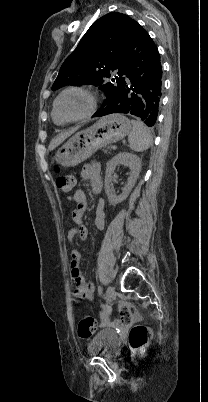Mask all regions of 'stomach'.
<instances>
[{
    "instance_id": "1",
    "label": "stomach",
    "mask_w": 208,
    "mask_h": 402,
    "mask_svg": "<svg viewBox=\"0 0 208 402\" xmlns=\"http://www.w3.org/2000/svg\"><path fill=\"white\" fill-rule=\"evenodd\" d=\"M130 130H132L131 122L122 114L103 116L91 128L78 132L64 146H61L54 160L59 166L73 168L91 158L100 148H106L110 144L123 140Z\"/></svg>"
}]
</instances>
